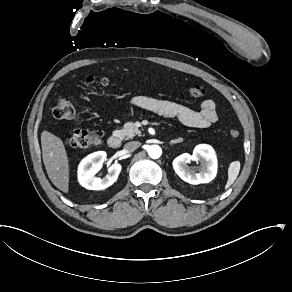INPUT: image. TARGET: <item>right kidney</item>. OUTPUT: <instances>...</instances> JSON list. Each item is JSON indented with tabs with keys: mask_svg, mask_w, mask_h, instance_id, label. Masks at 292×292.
Masks as SVG:
<instances>
[{
	"mask_svg": "<svg viewBox=\"0 0 292 292\" xmlns=\"http://www.w3.org/2000/svg\"><path fill=\"white\" fill-rule=\"evenodd\" d=\"M105 159V152H96L81 161L78 167V178L83 187L88 190H104L116 182L122 169L118 162L109 166L107 177L102 179L95 177V174L102 169Z\"/></svg>",
	"mask_w": 292,
	"mask_h": 292,
	"instance_id": "1",
	"label": "right kidney"
}]
</instances>
